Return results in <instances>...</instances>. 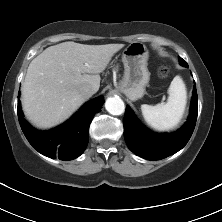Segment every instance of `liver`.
Wrapping results in <instances>:
<instances>
[{
    "instance_id": "1",
    "label": "liver",
    "mask_w": 222,
    "mask_h": 222,
    "mask_svg": "<svg viewBox=\"0 0 222 222\" xmlns=\"http://www.w3.org/2000/svg\"><path fill=\"white\" fill-rule=\"evenodd\" d=\"M124 44L85 45L63 42L35 57L22 84V107L36 127L47 129L66 120L87 98L79 89L98 91L100 73Z\"/></svg>"
}]
</instances>
